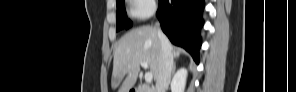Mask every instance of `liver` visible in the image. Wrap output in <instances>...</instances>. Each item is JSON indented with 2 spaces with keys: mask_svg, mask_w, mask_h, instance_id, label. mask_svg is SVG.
<instances>
[{
  "mask_svg": "<svg viewBox=\"0 0 296 92\" xmlns=\"http://www.w3.org/2000/svg\"><path fill=\"white\" fill-rule=\"evenodd\" d=\"M170 49L173 58H178L180 52L175 51L171 44ZM160 55L161 42L156 28L142 26L127 32L121 37L114 51L112 88H117L123 81L119 92H129L136 83L140 63L143 61L148 64L156 80L159 74Z\"/></svg>",
  "mask_w": 296,
  "mask_h": 92,
  "instance_id": "6515ba94",
  "label": "liver"
}]
</instances>
